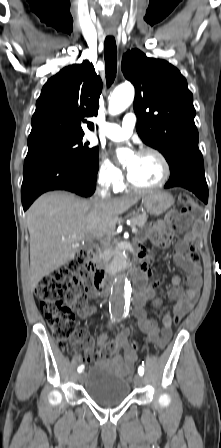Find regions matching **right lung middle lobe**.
<instances>
[{
  "label": "right lung middle lobe",
  "mask_w": 221,
  "mask_h": 448,
  "mask_svg": "<svg viewBox=\"0 0 221 448\" xmlns=\"http://www.w3.org/2000/svg\"><path fill=\"white\" fill-rule=\"evenodd\" d=\"M83 136L64 138L28 148L27 156L55 155L80 165L91 166L98 162V147L82 141Z\"/></svg>",
  "instance_id": "obj_1"
}]
</instances>
